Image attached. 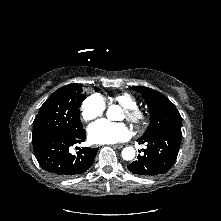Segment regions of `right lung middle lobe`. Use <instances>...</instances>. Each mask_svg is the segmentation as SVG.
<instances>
[{
  "instance_id": "right-lung-middle-lobe-1",
  "label": "right lung middle lobe",
  "mask_w": 221,
  "mask_h": 221,
  "mask_svg": "<svg viewBox=\"0 0 221 221\" xmlns=\"http://www.w3.org/2000/svg\"><path fill=\"white\" fill-rule=\"evenodd\" d=\"M95 91L99 88L95 87ZM85 97L82 84H69L55 91L34 119L32 141L48 135H73L83 131L79 108Z\"/></svg>"
}]
</instances>
